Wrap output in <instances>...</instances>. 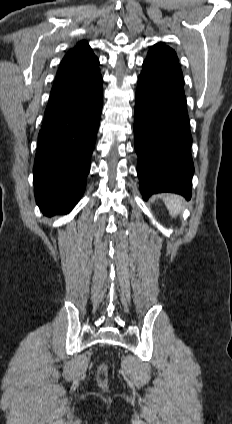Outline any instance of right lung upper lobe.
<instances>
[{"label": "right lung upper lobe", "instance_id": "1", "mask_svg": "<svg viewBox=\"0 0 232 424\" xmlns=\"http://www.w3.org/2000/svg\"><path fill=\"white\" fill-rule=\"evenodd\" d=\"M100 75L99 60L86 41H81L70 49L60 63L52 87L56 90L72 82L93 78Z\"/></svg>", "mask_w": 232, "mask_h": 424}]
</instances>
